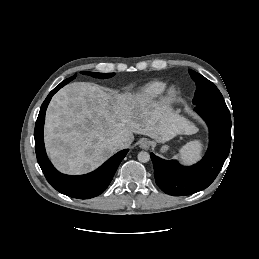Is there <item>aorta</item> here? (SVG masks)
<instances>
[{"instance_id":"762f6f07","label":"aorta","mask_w":259,"mask_h":259,"mask_svg":"<svg viewBox=\"0 0 259 259\" xmlns=\"http://www.w3.org/2000/svg\"><path fill=\"white\" fill-rule=\"evenodd\" d=\"M138 160L142 163H146L150 160V155L148 152L141 151L138 154Z\"/></svg>"}]
</instances>
